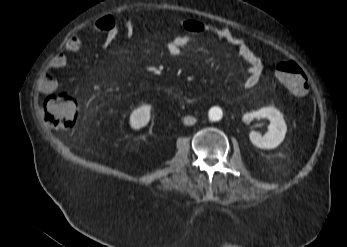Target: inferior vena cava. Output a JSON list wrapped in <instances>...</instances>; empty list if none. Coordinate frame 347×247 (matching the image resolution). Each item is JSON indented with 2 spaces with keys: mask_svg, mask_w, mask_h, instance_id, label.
Instances as JSON below:
<instances>
[{
  "mask_svg": "<svg viewBox=\"0 0 347 247\" xmlns=\"http://www.w3.org/2000/svg\"><path fill=\"white\" fill-rule=\"evenodd\" d=\"M196 121H197L196 118H194L192 116H187V117L184 118L183 122H184L185 125H193V124L196 123Z\"/></svg>",
  "mask_w": 347,
  "mask_h": 247,
  "instance_id": "obj_1",
  "label": "inferior vena cava"
}]
</instances>
